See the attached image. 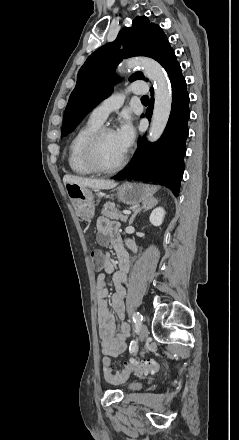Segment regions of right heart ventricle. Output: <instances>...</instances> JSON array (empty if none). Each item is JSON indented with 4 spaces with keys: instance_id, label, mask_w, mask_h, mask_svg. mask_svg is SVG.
<instances>
[{
    "instance_id": "e07e8e85",
    "label": "right heart ventricle",
    "mask_w": 239,
    "mask_h": 440,
    "mask_svg": "<svg viewBox=\"0 0 239 440\" xmlns=\"http://www.w3.org/2000/svg\"><path fill=\"white\" fill-rule=\"evenodd\" d=\"M100 127V124L89 119L82 127H80L71 137L67 161L70 169L79 175H92L95 172L87 165L84 159V145L90 135Z\"/></svg>"
}]
</instances>
